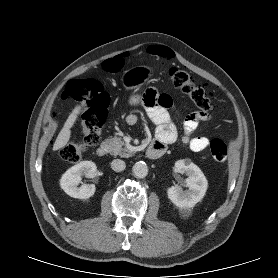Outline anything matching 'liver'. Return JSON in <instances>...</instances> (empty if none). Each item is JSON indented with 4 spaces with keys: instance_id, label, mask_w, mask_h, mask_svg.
<instances>
[{
    "instance_id": "6515ba94",
    "label": "liver",
    "mask_w": 278,
    "mask_h": 278,
    "mask_svg": "<svg viewBox=\"0 0 278 278\" xmlns=\"http://www.w3.org/2000/svg\"><path fill=\"white\" fill-rule=\"evenodd\" d=\"M81 113V106H76L72 113L68 116L63 128L61 129L60 133L58 134L56 141L53 145V150L56 151L62 147H64L71 136V127L74 125L78 115Z\"/></svg>"
}]
</instances>
